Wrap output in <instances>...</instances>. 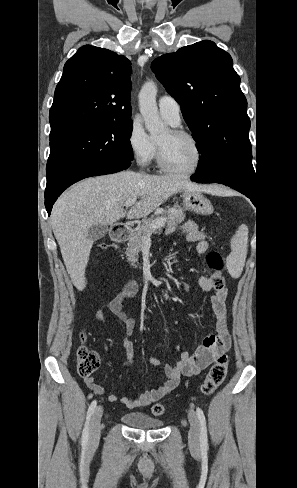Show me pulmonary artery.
I'll return each mask as SVG.
<instances>
[{
    "mask_svg": "<svg viewBox=\"0 0 297 488\" xmlns=\"http://www.w3.org/2000/svg\"><path fill=\"white\" fill-rule=\"evenodd\" d=\"M158 105L161 116L171 125L176 126L180 123V105L173 97L162 96Z\"/></svg>",
    "mask_w": 297,
    "mask_h": 488,
    "instance_id": "1",
    "label": "pulmonary artery"
}]
</instances>
